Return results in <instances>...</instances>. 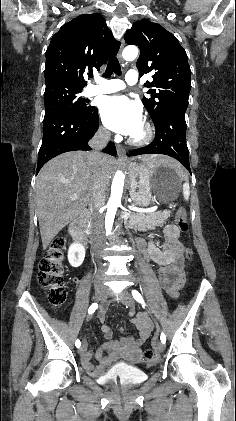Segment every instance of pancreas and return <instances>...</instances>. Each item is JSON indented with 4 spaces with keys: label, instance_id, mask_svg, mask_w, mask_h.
<instances>
[{
    "label": "pancreas",
    "instance_id": "1",
    "mask_svg": "<svg viewBox=\"0 0 236 421\" xmlns=\"http://www.w3.org/2000/svg\"><path fill=\"white\" fill-rule=\"evenodd\" d=\"M174 211V208H172ZM172 211H154V213H133L130 215L129 221H126L127 227L129 229H136V231H146V229H150L151 225H165L168 217H170ZM91 227H86L85 231H90Z\"/></svg>",
    "mask_w": 236,
    "mask_h": 421
}]
</instances>
